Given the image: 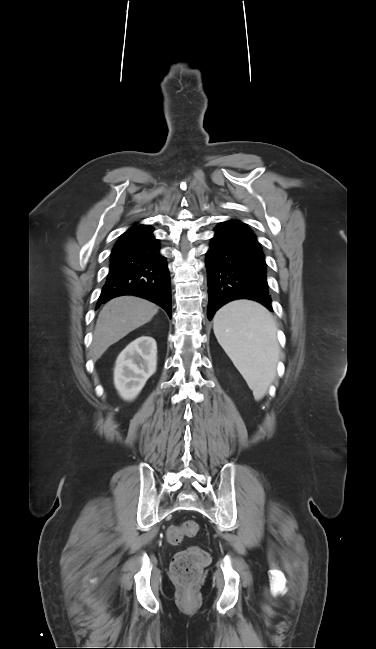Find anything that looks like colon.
<instances>
[{"mask_svg": "<svg viewBox=\"0 0 376 649\" xmlns=\"http://www.w3.org/2000/svg\"><path fill=\"white\" fill-rule=\"evenodd\" d=\"M200 530L194 520H187L180 525L170 526L167 530V540L178 544L184 537H193ZM209 554L199 547H189L178 552L171 563L170 573L173 579L185 588L193 587L200 579L203 569L209 564Z\"/></svg>", "mask_w": 376, "mask_h": 649, "instance_id": "1", "label": "colon"}]
</instances>
